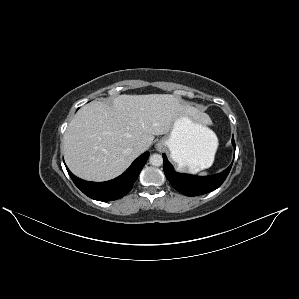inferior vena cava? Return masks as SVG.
<instances>
[{
  "label": "inferior vena cava",
  "mask_w": 299,
  "mask_h": 299,
  "mask_svg": "<svg viewBox=\"0 0 299 299\" xmlns=\"http://www.w3.org/2000/svg\"><path fill=\"white\" fill-rule=\"evenodd\" d=\"M146 150V146L143 143H137L135 146V151L138 153H142Z\"/></svg>",
  "instance_id": "602c4592"
}]
</instances>
